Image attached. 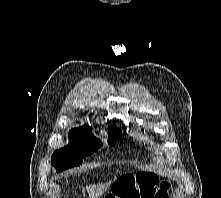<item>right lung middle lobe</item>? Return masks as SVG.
Masks as SVG:
<instances>
[{"label": "right lung middle lobe", "mask_w": 221, "mask_h": 198, "mask_svg": "<svg viewBox=\"0 0 221 198\" xmlns=\"http://www.w3.org/2000/svg\"><path fill=\"white\" fill-rule=\"evenodd\" d=\"M120 134L121 132H108V143L114 145ZM101 145V141L93 135L90 137H70L69 145L55 151L51 163L56 167V172L79 166L83 162V157L96 152Z\"/></svg>", "instance_id": "dd1d6c3e"}]
</instances>
